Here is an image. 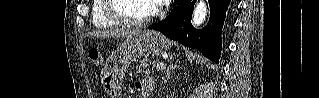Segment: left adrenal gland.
Here are the masks:
<instances>
[{
    "label": "left adrenal gland",
    "mask_w": 319,
    "mask_h": 98,
    "mask_svg": "<svg viewBox=\"0 0 319 98\" xmlns=\"http://www.w3.org/2000/svg\"><path fill=\"white\" fill-rule=\"evenodd\" d=\"M175 67L174 66H170L167 68L166 70V74L165 76L162 78L163 82L166 83L170 78H171V74L174 71Z\"/></svg>",
    "instance_id": "obj_1"
}]
</instances>
